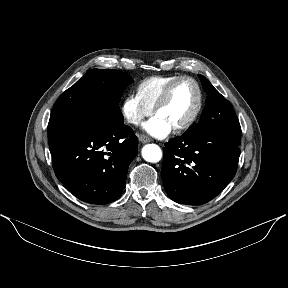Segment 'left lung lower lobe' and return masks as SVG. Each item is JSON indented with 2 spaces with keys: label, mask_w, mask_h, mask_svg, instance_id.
Here are the masks:
<instances>
[{
  "label": "left lung lower lobe",
  "mask_w": 288,
  "mask_h": 288,
  "mask_svg": "<svg viewBox=\"0 0 288 288\" xmlns=\"http://www.w3.org/2000/svg\"><path fill=\"white\" fill-rule=\"evenodd\" d=\"M162 181L177 203L201 205L215 198L236 174L239 145L209 131L184 133L165 143Z\"/></svg>",
  "instance_id": "0a47b994"
}]
</instances>
